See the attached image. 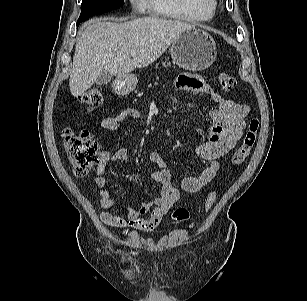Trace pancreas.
<instances>
[{"instance_id": "obj_1", "label": "pancreas", "mask_w": 307, "mask_h": 301, "mask_svg": "<svg viewBox=\"0 0 307 301\" xmlns=\"http://www.w3.org/2000/svg\"><path fill=\"white\" fill-rule=\"evenodd\" d=\"M171 64L170 63H167L166 65H165V67H168V66H170ZM156 68H158V64L156 65Z\"/></svg>"}]
</instances>
